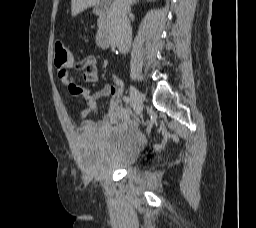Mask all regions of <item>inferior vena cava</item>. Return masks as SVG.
<instances>
[{
  "instance_id": "602c4592",
  "label": "inferior vena cava",
  "mask_w": 256,
  "mask_h": 228,
  "mask_svg": "<svg viewBox=\"0 0 256 228\" xmlns=\"http://www.w3.org/2000/svg\"><path fill=\"white\" fill-rule=\"evenodd\" d=\"M134 0H114L110 12L109 22L112 38L122 54L129 52L132 40V29L127 13Z\"/></svg>"
}]
</instances>
